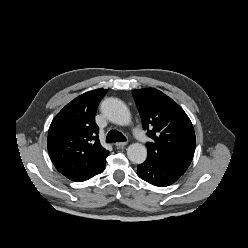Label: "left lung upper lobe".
Here are the masks:
<instances>
[{
  "label": "left lung upper lobe",
  "mask_w": 248,
  "mask_h": 248,
  "mask_svg": "<svg viewBox=\"0 0 248 248\" xmlns=\"http://www.w3.org/2000/svg\"><path fill=\"white\" fill-rule=\"evenodd\" d=\"M143 128L153 142L146 144L148 157L186 169L196 145L193 125L184 110L154 88L133 90Z\"/></svg>",
  "instance_id": "obj_1"
}]
</instances>
